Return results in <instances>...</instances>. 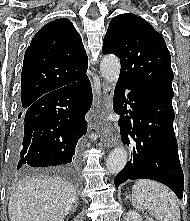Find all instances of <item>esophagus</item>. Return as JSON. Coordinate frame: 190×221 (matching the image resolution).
<instances>
[{"instance_id":"34e87169","label":"esophagus","mask_w":190,"mask_h":221,"mask_svg":"<svg viewBox=\"0 0 190 221\" xmlns=\"http://www.w3.org/2000/svg\"><path fill=\"white\" fill-rule=\"evenodd\" d=\"M102 104L100 119L105 117L112 110L113 88L109 83H103L102 86ZM101 139L104 141L105 147H113L117 144V138L114 134V127L111 123L104 122L99 127Z\"/></svg>"}]
</instances>
